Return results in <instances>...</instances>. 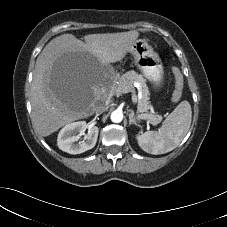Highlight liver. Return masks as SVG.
Segmentation results:
<instances>
[{
  "label": "liver",
  "instance_id": "obj_1",
  "mask_svg": "<svg viewBox=\"0 0 227 227\" xmlns=\"http://www.w3.org/2000/svg\"><path fill=\"white\" fill-rule=\"evenodd\" d=\"M139 37L136 30L121 33L89 34L84 42L72 34H63L52 39L36 60L31 85L32 122L37 133L49 136L64 125L88 117L95 112V103L107 86L97 72V63L102 65L121 61ZM67 52L88 55L95 66L92 81L83 94L72 101L57 98L50 87L49 72L56 59Z\"/></svg>",
  "mask_w": 227,
  "mask_h": 227
}]
</instances>
